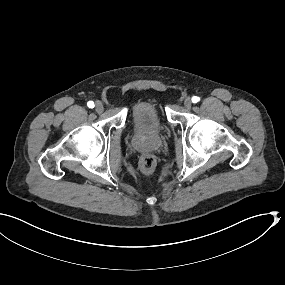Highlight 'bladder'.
Segmentation results:
<instances>
[{"instance_id":"1","label":"bladder","mask_w":285,"mask_h":285,"mask_svg":"<svg viewBox=\"0 0 285 285\" xmlns=\"http://www.w3.org/2000/svg\"><path fill=\"white\" fill-rule=\"evenodd\" d=\"M154 103L155 101H140L130 107L133 123L132 136L152 139L162 134L158 127L160 117L154 110Z\"/></svg>"}]
</instances>
